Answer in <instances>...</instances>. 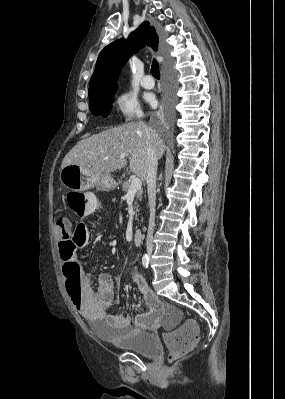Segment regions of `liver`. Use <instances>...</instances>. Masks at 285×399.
<instances>
[{
  "instance_id": "obj_1",
  "label": "liver",
  "mask_w": 285,
  "mask_h": 399,
  "mask_svg": "<svg viewBox=\"0 0 285 399\" xmlns=\"http://www.w3.org/2000/svg\"><path fill=\"white\" fill-rule=\"evenodd\" d=\"M153 139L158 158L164 154L165 145L161 136L141 122H131L107 129L79 141L64 157L61 168L78 165L94 177L109 176L127 165L141 179H146L148 142Z\"/></svg>"
}]
</instances>
